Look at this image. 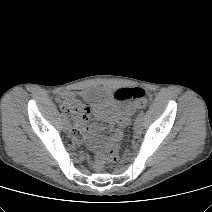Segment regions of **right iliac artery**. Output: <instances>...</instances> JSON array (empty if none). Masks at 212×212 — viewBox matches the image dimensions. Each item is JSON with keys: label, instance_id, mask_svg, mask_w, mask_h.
Instances as JSON below:
<instances>
[{"label": "right iliac artery", "instance_id": "82829eb1", "mask_svg": "<svg viewBox=\"0 0 212 212\" xmlns=\"http://www.w3.org/2000/svg\"><path fill=\"white\" fill-rule=\"evenodd\" d=\"M62 118L64 119V120H66V115H64V114H62Z\"/></svg>", "mask_w": 212, "mask_h": 212}]
</instances>
